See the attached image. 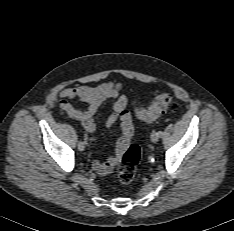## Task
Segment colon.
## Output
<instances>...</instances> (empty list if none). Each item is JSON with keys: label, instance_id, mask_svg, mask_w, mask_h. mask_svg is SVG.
Wrapping results in <instances>:
<instances>
[{"label": "colon", "instance_id": "obj_1", "mask_svg": "<svg viewBox=\"0 0 234 231\" xmlns=\"http://www.w3.org/2000/svg\"><path fill=\"white\" fill-rule=\"evenodd\" d=\"M171 106L172 97L170 94L162 92L157 94L147 107H136L135 115L139 120L150 123L155 121ZM140 154L141 152L138 145L132 143L127 146L116 169V178L119 182L129 184L134 180Z\"/></svg>", "mask_w": 234, "mask_h": 231}]
</instances>
